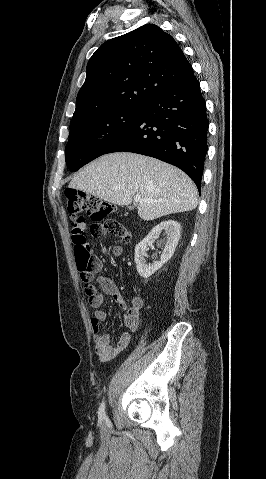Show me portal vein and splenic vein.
Returning <instances> with one entry per match:
<instances>
[{"instance_id":"portal-vein-and-splenic-vein-1","label":"portal vein and splenic vein","mask_w":266,"mask_h":479,"mask_svg":"<svg viewBox=\"0 0 266 479\" xmlns=\"http://www.w3.org/2000/svg\"><path fill=\"white\" fill-rule=\"evenodd\" d=\"M134 201H135V202H139V203H142V202H150V200H148V199H147V200L142 199L140 195H136V196L134 197Z\"/></svg>"}]
</instances>
